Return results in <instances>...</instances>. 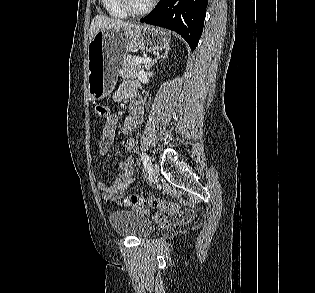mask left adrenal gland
<instances>
[{
    "label": "left adrenal gland",
    "mask_w": 315,
    "mask_h": 293,
    "mask_svg": "<svg viewBox=\"0 0 315 293\" xmlns=\"http://www.w3.org/2000/svg\"><path fill=\"white\" fill-rule=\"evenodd\" d=\"M168 53H169V51L167 50L164 55H162V56H157L155 59H153V61H151L150 63L146 64V65H145L146 70H149V69H150L155 63H157L158 60H160L161 58L167 57V56H168Z\"/></svg>",
    "instance_id": "1"
}]
</instances>
